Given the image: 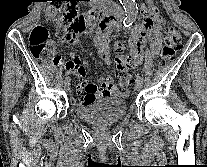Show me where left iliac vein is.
Masks as SVG:
<instances>
[{
    "instance_id": "1",
    "label": "left iliac vein",
    "mask_w": 207,
    "mask_h": 167,
    "mask_svg": "<svg viewBox=\"0 0 207 167\" xmlns=\"http://www.w3.org/2000/svg\"><path fill=\"white\" fill-rule=\"evenodd\" d=\"M141 88H142V81L136 80L135 90L139 91V90H141Z\"/></svg>"
}]
</instances>
